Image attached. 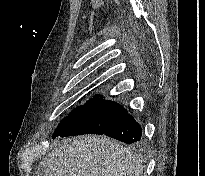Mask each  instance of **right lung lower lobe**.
<instances>
[{"label": "right lung lower lobe", "instance_id": "1", "mask_svg": "<svg viewBox=\"0 0 205 176\" xmlns=\"http://www.w3.org/2000/svg\"><path fill=\"white\" fill-rule=\"evenodd\" d=\"M104 134L127 144H136L141 139L142 129L135 119L126 112L125 116Z\"/></svg>", "mask_w": 205, "mask_h": 176}]
</instances>
